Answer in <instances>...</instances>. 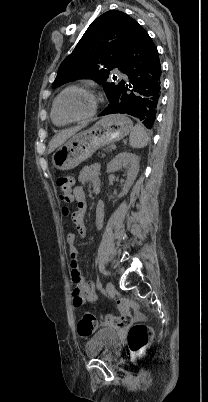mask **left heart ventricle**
Listing matches in <instances>:
<instances>
[{
  "label": "left heart ventricle",
  "mask_w": 208,
  "mask_h": 402,
  "mask_svg": "<svg viewBox=\"0 0 208 402\" xmlns=\"http://www.w3.org/2000/svg\"><path fill=\"white\" fill-rule=\"evenodd\" d=\"M93 94L81 90H69L58 102L60 111L70 118H77L90 112L94 105Z\"/></svg>",
  "instance_id": "1"
}]
</instances>
